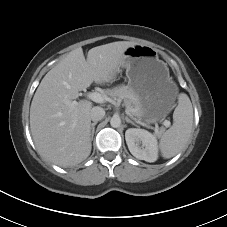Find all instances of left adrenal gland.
<instances>
[{
  "mask_svg": "<svg viewBox=\"0 0 227 227\" xmlns=\"http://www.w3.org/2000/svg\"><path fill=\"white\" fill-rule=\"evenodd\" d=\"M127 123H131L134 126H137L132 120H130L127 116L125 117Z\"/></svg>",
  "mask_w": 227,
  "mask_h": 227,
  "instance_id": "a2214340",
  "label": "left adrenal gland"
}]
</instances>
